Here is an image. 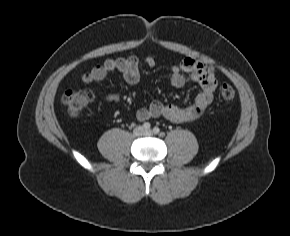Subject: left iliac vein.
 Returning <instances> with one entry per match:
<instances>
[{"label": "left iliac vein", "mask_w": 290, "mask_h": 236, "mask_svg": "<svg viewBox=\"0 0 290 236\" xmlns=\"http://www.w3.org/2000/svg\"><path fill=\"white\" fill-rule=\"evenodd\" d=\"M145 133H146L147 135H152V134H153V132H152L151 130H147Z\"/></svg>", "instance_id": "left-iliac-vein-1"}]
</instances>
